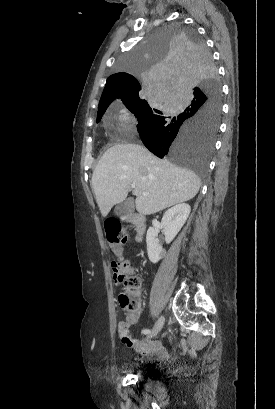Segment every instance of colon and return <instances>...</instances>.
<instances>
[{"label":"colon","mask_w":275,"mask_h":409,"mask_svg":"<svg viewBox=\"0 0 275 409\" xmlns=\"http://www.w3.org/2000/svg\"><path fill=\"white\" fill-rule=\"evenodd\" d=\"M104 234L110 249L113 253L120 254L126 244V234L118 219H110L105 223ZM130 263L128 256H122L119 261L111 262V269L114 275H120V282L127 292L119 294L118 299L121 307L129 314V319L120 322L124 325H131L132 321L139 314L142 303V296L138 289L142 286V280L130 273V267L125 266ZM157 347V346H156Z\"/></svg>","instance_id":"obj_1"}]
</instances>
